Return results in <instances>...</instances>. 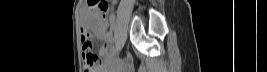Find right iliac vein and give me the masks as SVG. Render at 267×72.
<instances>
[{
    "instance_id": "63e3f726",
    "label": "right iliac vein",
    "mask_w": 267,
    "mask_h": 72,
    "mask_svg": "<svg viewBox=\"0 0 267 72\" xmlns=\"http://www.w3.org/2000/svg\"><path fill=\"white\" fill-rule=\"evenodd\" d=\"M117 53H118V49H115V51L113 52V54H112L111 57H112V58L115 57Z\"/></svg>"
}]
</instances>
